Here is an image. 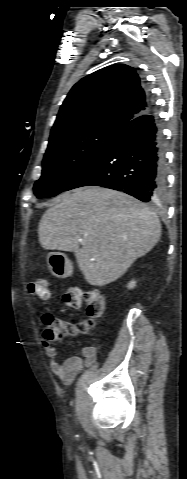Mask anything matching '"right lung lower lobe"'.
<instances>
[{
    "mask_svg": "<svg viewBox=\"0 0 187 479\" xmlns=\"http://www.w3.org/2000/svg\"><path fill=\"white\" fill-rule=\"evenodd\" d=\"M90 185L123 191L144 202H155L165 195L163 134L153 107L126 125L64 191Z\"/></svg>",
    "mask_w": 187,
    "mask_h": 479,
    "instance_id": "obj_1",
    "label": "right lung lower lobe"
}]
</instances>
